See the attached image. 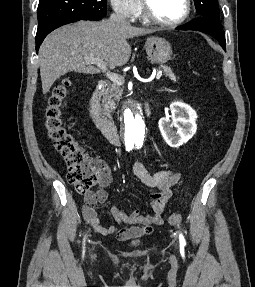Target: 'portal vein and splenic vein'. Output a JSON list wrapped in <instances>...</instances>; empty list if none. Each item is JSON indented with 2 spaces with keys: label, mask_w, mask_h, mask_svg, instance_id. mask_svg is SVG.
Masks as SVG:
<instances>
[{
  "label": "portal vein and splenic vein",
  "mask_w": 255,
  "mask_h": 287,
  "mask_svg": "<svg viewBox=\"0 0 255 287\" xmlns=\"http://www.w3.org/2000/svg\"><path fill=\"white\" fill-rule=\"evenodd\" d=\"M84 62L85 64H96L100 70H106V64L103 62L102 58H84ZM106 76L111 80V82H116V84H119V82H123L124 80V78H120V76L112 74V72H107ZM161 76L162 72H155V74H152L151 78H148V80L140 78V82H152L154 78H156V80H160Z\"/></svg>",
  "instance_id": "18ae733b"
}]
</instances>
